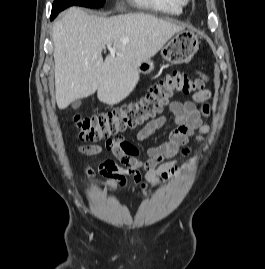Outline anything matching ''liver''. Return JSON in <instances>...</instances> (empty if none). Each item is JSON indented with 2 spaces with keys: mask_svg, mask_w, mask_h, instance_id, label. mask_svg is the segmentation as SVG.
Here are the masks:
<instances>
[{
  "mask_svg": "<svg viewBox=\"0 0 265 269\" xmlns=\"http://www.w3.org/2000/svg\"><path fill=\"white\" fill-rule=\"evenodd\" d=\"M182 30L184 26L145 13L106 18L71 7L52 29L58 108L96 91L101 102L118 104L137 85L138 65ZM106 45L113 46L115 54L103 61Z\"/></svg>",
  "mask_w": 265,
  "mask_h": 269,
  "instance_id": "liver-1",
  "label": "liver"
}]
</instances>
